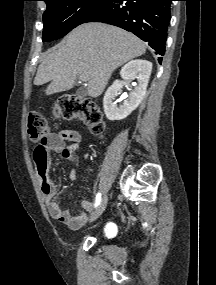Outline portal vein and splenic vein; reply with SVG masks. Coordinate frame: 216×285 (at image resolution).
<instances>
[{"instance_id": "1", "label": "portal vein and splenic vein", "mask_w": 216, "mask_h": 285, "mask_svg": "<svg viewBox=\"0 0 216 285\" xmlns=\"http://www.w3.org/2000/svg\"><path fill=\"white\" fill-rule=\"evenodd\" d=\"M80 79H81L82 81H86L85 75H80Z\"/></svg>"}]
</instances>
